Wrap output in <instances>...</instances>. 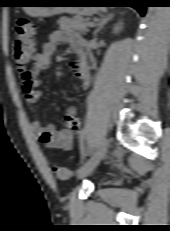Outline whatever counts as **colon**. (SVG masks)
Listing matches in <instances>:
<instances>
[{
	"mask_svg": "<svg viewBox=\"0 0 170 231\" xmlns=\"http://www.w3.org/2000/svg\"><path fill=\"white\" fill-rule=\"evenodd\" d=\"M16 38L13 44L14 62L23 78L31 80L33 78L32 68H28L34 53L35 26L27 17H21L15 25ZM55 175L61 180H69L72 171L64 166L54 167Z\"/></svg>",
	"mask_w": 170,
	"mask_h": 231,
	"instance_id": "colon-1",
	"label": "colon"
}]
</instances>
